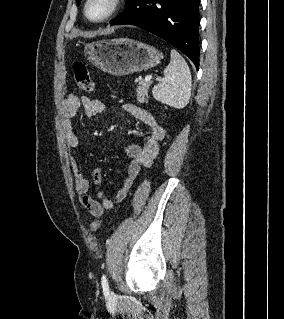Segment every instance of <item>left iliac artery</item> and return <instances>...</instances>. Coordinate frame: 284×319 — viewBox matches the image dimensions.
I'll list each match as a JSON object with an SVG mask.
<instances>
[{
  "label": "left iliac artery",
  "instance_id": "obj_1",
  "mask_svg": "<svg viewBox=\"0 0 284 319\" xmlns=\"http://www.w3.org/2000/svg\"><path fill=\"white\" fill-rule=\"evenodd\" d=\"M101 284H102L103 291L105 293H109V285L105 275L102 276Z\"/></svg>",
  "mask_w": 284,
  "mask_h": 319
}]
</instances>
